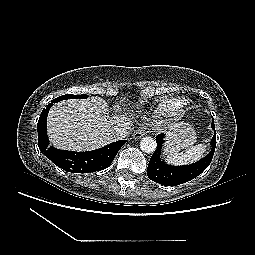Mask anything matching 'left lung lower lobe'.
<instances>
[{
	"label": "left lung lower lobe",
	"instance_id": "left-lung-lower-lobe-1",
	"mask_svg": "<svg viewBox=\"0 0 255 255\" xmlns=\"http://www.w3.org/2000/svg\"><path fill=\"white\" fill-rule=\"evenodd\" d=\"M212 128L214 129V135L210 153L198 162L185 166H171L161 161L164 134H158L156 137L157 149L153 153L147 168L149 179L161 185L174 186L183 184L199 176L211 163L215 151L216 133L213 118Z\"/></svg>",
	"mask_w": 255,
	"mask_h": 255
}]
</instances>
